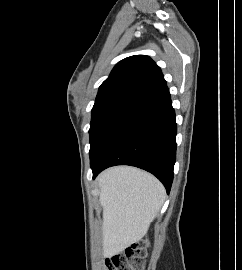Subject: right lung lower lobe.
Segmentation results:
<instances>
[{
  "instance_id": "1",
  "label": "right lung lower lobe",
  "mask_w": 242,
  "mask_h": 270,
  "mask_svg": "<svg viewBox=\"0 0 242 270\" xmlns=\"http://www.w3.org/2000/svg\"><path fill=\"white\" fill-rule=\"evenodd\" d=\"M177 126L169 90L137 105L90 162L93 178L107 167L132 165L155 175L169 193L176 159Z\"/></svg>"
}]
</instances>
